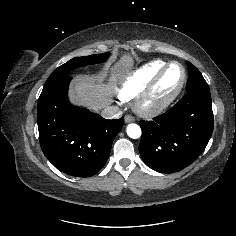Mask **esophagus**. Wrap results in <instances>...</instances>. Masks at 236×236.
Masks as SVG:
<instances>
[{
    "mask_svg": "<svg viewBox=\"0 0 236 236\" xmlns=\"http://www.w3.org/2000/svg\"><path fill=\"white\" fill-rule=\"evenodd\" d=\"M124 120H125V123H130V122H133L135 119L131 115H126Z\"/></svg>",
    "mask_w": 236,
    "mask_h": 236,
    "instance_id": "1",
    "label": "esophagus"
}]
</instances>
